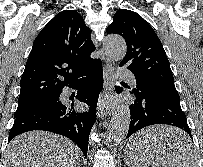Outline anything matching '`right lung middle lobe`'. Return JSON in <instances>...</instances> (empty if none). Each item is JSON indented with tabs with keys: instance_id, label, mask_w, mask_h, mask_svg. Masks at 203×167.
I'll return each instance as SVG.
<instances>
[{
	"instance_id": "dd1d6c3e",
	"label": "right lung middle lobe",
	"mask_w": 203,
	"mask_h": 167,
	"mask_svg": "<svg viewBox=\"0 0 203 167\" xmlns=\"http://www.w3.org/2000/svg\"><path fill=\"white\" fill-rule=\"evenodd\" d=\"M56 101H57V95L39 100L37 102L31 103L28 105L18 106L16 113H15V117H17V116L21 115L22 113L27 112L29 110L50 105Z\"/></svg>"
}]
</instances>
